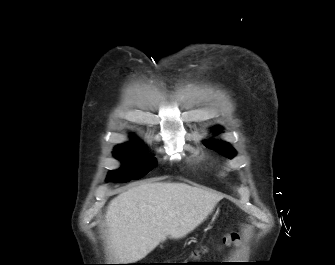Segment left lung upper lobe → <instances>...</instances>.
Returning a JSON list of instances; mask_svg holds the SVG:
<instances>
[{
  "instance_id": "obj_1",
  "label": "left lung upper lobe",
  "mask_w": 335,
  "mask_h": 265,
  "mask_svg": "<svg viewBox=\"0 0 335 265\" xmlns=\"http://www.w3.org/2000/svg\"><path fill=\"white\" fill-rule=\"evenodd\" d=\"M221 129V128H219ZM208 148L214 149L222 155L232 158L236 155V151L230 146V144L222 141H211L205 144Z\"/></svg>"
}]
</instances>
